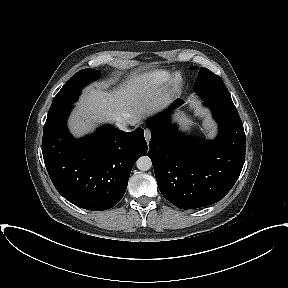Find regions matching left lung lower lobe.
Masks as SVG:
<instances>
[{"mask_svg":"<svg viewBox=\"0 0 288 288\" xmlns=\"http://www.w3.org/2000/svg\"><path fill=\"white\" fill-rule=\"evenodd\" d=\"M166 111L148 119V156L158 187L166 200L181 209H196L220 201L237 181L245 161V133L236 107L206 101L219 124L213 141H196L170 123Z\"/></svg>","mask_w":288,"mask_h":288,"instance_id":"obj_1","label":"left lung lower lobe"}]
</instances>
